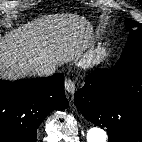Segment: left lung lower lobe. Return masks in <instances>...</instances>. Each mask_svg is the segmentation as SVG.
Listing matches in <instances>:
<instances>
[{
  "label": "left lung lower lobe",
  "instance_id": "left-lung-lower-lobe-1",
  "mask_svg": "<svg viewBox=\"0 0 142 142\" xmlns=\"http://www.w3.org/2000/svg\"><path fill=\"white\" fill-rule=\"evenodd\" d=\"M75 105L89 121L107 128L108 142L138 141L142 138V66H113L90 73L75 92Z\"/></svg>",
  "mask_w": 142,
  "mask_h": 142
}]
</instances>
